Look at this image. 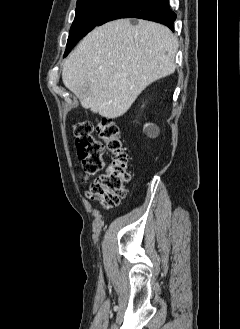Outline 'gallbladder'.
<instances>
[{"instance_id":"gallbladder-1","label":"gallbladder","mask_w":240,"mask_h":329,"mask_svg":"<svg viewBox=\"0 0 240 329\" xmlns=\"http://www.w3.org/2000/svg\"><path fill=\"white\" fill-rule=\"evenodd\" d=\"M88 90H89V86H86L85 89H84V92H83V94L81 96V98H83V95L86 94Z\"/></svg>"}]
</instances>
